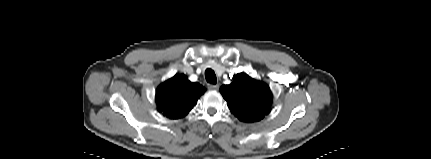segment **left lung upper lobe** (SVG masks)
<instances>
[{
  "mask_svg": "<svg viewBox=\"0 0 431 159\" xmlns=\"http://www.w3.org/2000/svg\"><path fill=\"white\" fill-rule=\"evenodd\" d=\"M233 78L234 81L230 85H223L220 88L231 112L245 122L261 120L271 110L270 88L245 73Z\"/></svg>",
  "mask_w": 431,
  "mask_h": 159,
  "instance_id": "left-lung-upper-lobe-1",
  "label": "left lung upper lobe"
}]
</instances>
